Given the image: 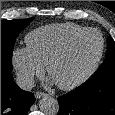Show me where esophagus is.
<instances>
[{
  "mask_svg": "<svg viewBox=\"0 0 115 115\" xmlns=\"http://www.w3.org/2000/svg\"><path fill=\"white\" fill-rule=\"evenodd\" d=\"M45 96H47V94L44 93V92H36L35 93V98L36 99H40V98L45 97Z\"/></svg>",
  "mask_w": 115,
  "mask_h": 115,
  "instance_id": "34e87169",
  "label": "esophagus"
}]
</instances>
